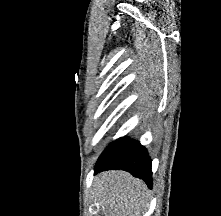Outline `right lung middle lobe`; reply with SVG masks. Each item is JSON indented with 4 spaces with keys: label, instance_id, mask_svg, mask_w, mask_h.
I'll list each match as a JSON object with an SVG mask.
<instances>
[{
    "label": "right lung middle lobe",
    "instance_id": "right-lung-middle-lobe-1",
    "mask_svg": "<svg viewBox=\"0 0 221 216\" xmlns=\"http://www.w3.org/2000/svg\"><path fill=\"white\" fill-rule=\"evenodd\" d=\"M135 143H136L135 140H131L125 137L117 139L116 141L109 144V146L105 149L103 154L99 157L96 165H101L108 162L113 157L123 152L124 150L128 149Z\"/></svg>",
    "mask_w": 221,
    "mask_h": 216
}]
</instances>
